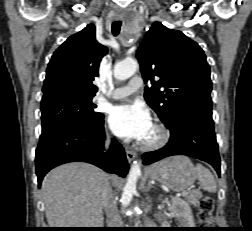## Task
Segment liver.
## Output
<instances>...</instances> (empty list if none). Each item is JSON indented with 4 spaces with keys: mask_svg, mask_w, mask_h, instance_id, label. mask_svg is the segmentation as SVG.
<instances>
[{
    "mask_svg": "<svg viewBox=\"0 0 252 231\" xmlns=\"http://www.w3.org/2000/svg\"><path fill=\"white\" fill-rule=\"evenodd\" d=\"M108 186V175L90 164L73 162L50 171L41 187L50 228H101Z\"/></svg>",
    "mask_w": 252,
    "mask_h": 231,
    "instance_id": "liver-1",
    "label": "liver"
}]
</instances>
